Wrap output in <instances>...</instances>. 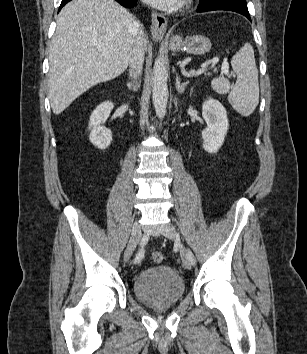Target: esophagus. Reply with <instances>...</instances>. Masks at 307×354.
<instances>
[{"instance_id": "34e87169", "label": "esophagus", "mask_w": 307, "mask_h": 354, "mask_svg": "<svg viewBox=\"0 0 307 354\" xmlns=\"http://www.w3.org/2000/svg\"><path fill=\"white\" fill-rule=\"evenodd\" d=\"M167 28V19L164 15L153 12L151 14V33L153 38L162 39Z\"/></svg>"}]
</instances>
